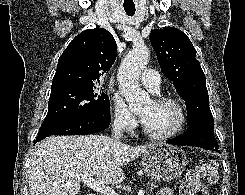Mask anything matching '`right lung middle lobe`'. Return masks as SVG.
<instances>
[{"label":"right lung middle lobe","mask_w":245,"mask_h":195,"mask_svg":"<svg viewBox=\"0 0 245 195\" xmlns=\"http://www.w3.org/2000/svg\"><path fill=\"white\" fill-rule=\"evenodd\" d=\"M97 86L73 87L51 92L48 113L38 133L98 111H110L108 96Z\"/></svg>","instance_id":"dd1d6c3e"}]
</instances>
